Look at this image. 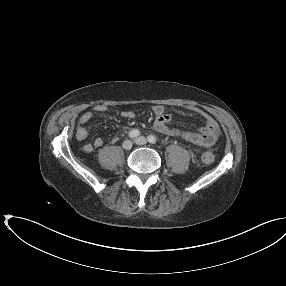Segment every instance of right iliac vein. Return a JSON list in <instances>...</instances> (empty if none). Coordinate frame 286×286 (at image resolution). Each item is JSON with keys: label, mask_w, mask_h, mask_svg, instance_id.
I'll use <instances>...</instances> for the list:
<instances>
[{"label": "right iliac vein", "mask_w": 286, "mask_h": 286, "mask_svg": "<svg viewBox=\"0 0 286 286\" xmlns=\"http://www.w3.org/2000/svg\"><path fill=\"white\" fill-rule=\"evenodd\" d=\"M132 141L131 140H125L122 144V147L125 149V150H130L132 148Z\"/></svg>", "instance_id": "right-iliac-vein-1"}]
</instances>
